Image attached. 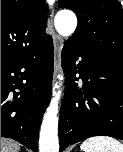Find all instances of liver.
<instances>
[{
    "mask_svg": "<svg viewBox=\"0 0 123 152\" xmlns=\"http://www.w3.org/2000/svg\"><path fill=\"white\" fill-rule=\"evenodd\" d=\"M20 144L14 140L1 138V152H19Z\"/></svg>",
    "mask_w": 123,
    "mask_h": 152,
    "instance_id": "6515ba94",
    "label": "liver"
}]
</instances>
